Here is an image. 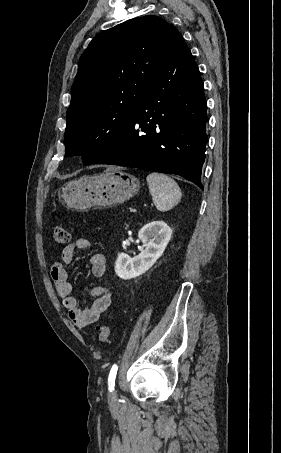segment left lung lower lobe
<instances>
[{
    "mask_svg": "<svg viewBox=\"0 0 281 453\" xmlns=\"http://www.w3.org/2000/svg\"><path fill=\"white\" fill-rule=\"evenodd\" d=\"M206 122L203 82L179 34L127 127L93 164L177 174L203 189Z\"/></svg>",
    "mask_w": 281,
    "mask_h": 453,
    "instance_id": "left-lung-lower-lobe-1",
    "label": "left lung lower lobe"
}]
</instances>
